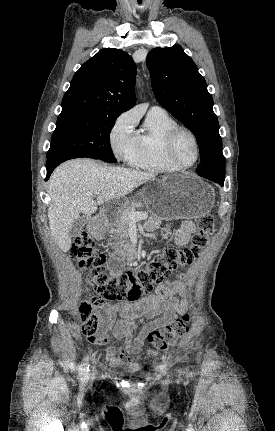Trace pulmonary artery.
<instances>
[{
  "label": "pulmonary artery",
  "instance_id": "1",
  "mask_svg": "<svg viewBox=\"0 0 275 431\" xmlns=\"http://www.w3.org/2000/svg\"><path fill=\"white\" fill-rule=\"evenodd\" d=\"M151 108H160L159 106H152Z\"/></svg>",
  "mask_w": 275,
  "mask_h": 431
}]
</instances>
